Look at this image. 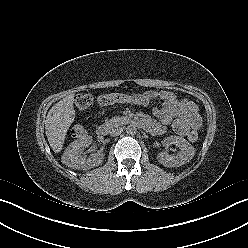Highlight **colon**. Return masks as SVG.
Here are the masks:
<instances>
[{
	"mask_svg": "<svg viewBox=\"0 0 248 248\" xmlns=\"http://www.w3.org/2000/svg\"><path fill=\"white\" fill-rule=\"evenodd\" d=\"M127 99V94L122 93H112V94H105L101 95L97 98V103L99 105H107L112 103H122L125 102ZM93 98L89 94H82L77 96L75 99L76 108L79 111L86 110L92 104ZM86 134V129L82 125H74L70 130V136L73 138H81ZM188 139L191 142H195L198 139L197 131H192L189 134Z\"/></svg>",
	"mask_w": 248,
	"mask_h": 248,
	"instance_id": "1",
	"label": "colon"
}]
</instances>
